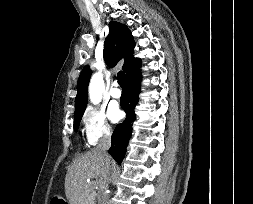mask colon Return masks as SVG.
<instances>
[{
	"instance_id": "1",
	"label": "colon",
	"mask_w": 253,
	"mask_h": 204,
	"mask_svg": "<svg viewBox=\"0 0 253 204\" xmlns=\"http://www.w3.org/2000/svg\"><path fill=\"white\" fill-rule=\"evenodd\" d=\"M62 201H63V200H62L61 196L56 195V196H54V197L51 199V203H50V204H63Z\"/></svg>"
}]
</instances>
